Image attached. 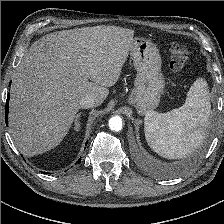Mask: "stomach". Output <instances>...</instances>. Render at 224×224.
<instances>
[{
	"mask_svg": "<svg viewBox=\"0 0 224 224\" xmlns=\"http://www.w3.org/2000/svg\"><path fill=\"white\" fill-rule=\"evenodd\" d=\"M130 55L137 74L127 101L140 115H145L158 106L165 86L161 57L156 45L144 38L133 39Z\"/></svg>",
	"mask_w": 224,
	"mask_h": 224,
	"instance_id": "0dacf381",
	"label": "stomach"
}]
</instances>
